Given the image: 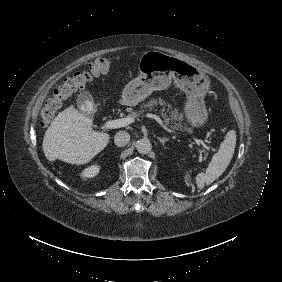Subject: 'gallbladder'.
I'll return each instance as SVG.
<instances>
[{"label":"gallbladder","mask_w":282,"mask_h":282,"mask_svg":"<svg viewBox=\"0 0 282 282\" xmlns=\"http://www.w3.org/2000/svg\"><path fill=\"white\" fill-rule=\"evenodd\" d=\"M93 103V98L89 94V92L85 91L78 95L77 98V107L80 110H85L88 106H90Z\"/></svg>","instance_id":"1"}]
</instances>
